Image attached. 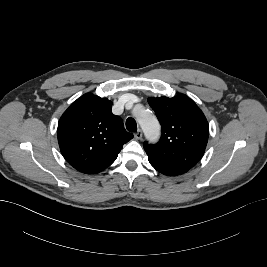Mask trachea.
<instances>
[{
  "label": "trachea",
  "instance_id": "1",
  "mask_svg": "<svg viewBox=\"0 0 267 267\" xmlns=\"http://www.w3.org/2000/svg\"><path fill=\"white\" fill-rule=\"evenodd\" d=\"M126 128L128 131L130 132H136L137 131V124H136V121L129 117L127 120H126Z\"/></svg>",
  "mask_w": 267,
  "mask_h": 267
}]
</instances>
